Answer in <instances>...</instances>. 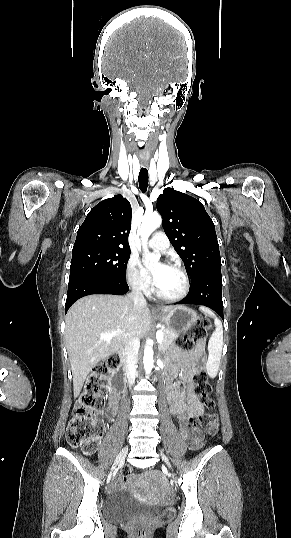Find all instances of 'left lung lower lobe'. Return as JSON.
<instances>
[{
	"instance_id": "left-lung-lower-lobe-1",
	"label": "left lung lower lobe",
	"mask_w": 291,
	"mask_h": 538,
	"mask_svg": "<svg viewBox=\"0 0 291 538\" xmlns=\"http://www.w3.org/2000/svg\"><path fill=\"white\" fill-rule=\"evenodd\" d=\"M175 304L203 305L213 309L224 319L221 270L210 271L191 282L188 295Z\"/></svg>"
}]
</instances>
